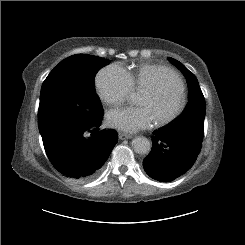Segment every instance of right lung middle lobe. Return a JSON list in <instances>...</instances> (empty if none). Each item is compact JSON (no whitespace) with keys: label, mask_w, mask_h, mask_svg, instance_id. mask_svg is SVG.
<instances>
[{"label":"right lung middle lobe","mask_w":245,"mask_h":245,"mask_svg":"<svg viewBox=\"0 0 245 245\" xmlns=\"http://www.w3.org/2000/svg\"><path fill=\"white\" fill-rule=\"evenodd\" d=\"M106 62L101 57L76 54L50 72L40 94L38 125L42 139L57 129L88 125L102 116L92 81Z\"/></svg>","instance_id":"obj_1"}]
</instances>
